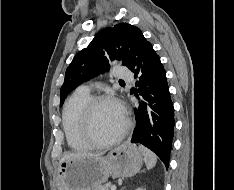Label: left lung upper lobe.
I'll return each instance as SVG.
<instances>
[{
    "label": "left lung upper lobe",
    "mask_w": 234,
    "mask_h": 190,
    "mask_svg": "<svg viewBox=\"0 0 234 190\" xmlns=\"http://www.w3.org/2000/svg\"><path fill=\"white\" fill-rule=\"evenodd\" d=\"M146 39L137 27L119 23L102 29L87 48L79 51L66 70L61 101L83 82L109 70V60H123L131 68Z\"/></svg>",
    "instance_id": "obj_1"
}]
</instances>
